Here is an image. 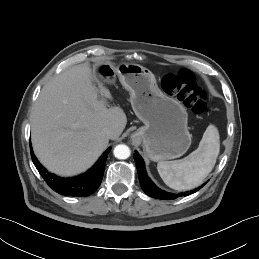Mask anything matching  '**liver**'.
<instances>
[{
  "label": "liver",
  "mask_w": 259,
  "mask_h": 259,
  "mask_svg": "<svg viewBox=\"0 0 259 259\" xmlns=\"http://www.w3.org/2000/svg\"><path fill=\"white\" fill-rule=\"evenodd\" d=\"M96 74L79 64L52 78L32 109L31 139L40 162L51 172L72 176L90 168L107 148L104 129L117 139L127 118L120 107L107 108L92 83ZM101 94L112 99L108 89Z\"/></svg>",
  "instance_id": "liver-1"
}]
</instances>
